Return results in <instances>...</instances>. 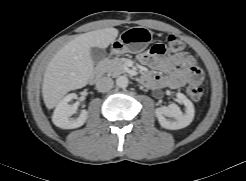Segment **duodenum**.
I'll return each mask as SVG.
<instances>
[{
	"instance_id": "duodenum-1",
	"label": "duodenum",
	"mask_w": 246,
	"mask_h": 181,
	"mask_svg": "<svg viewBox=\"0 0 246 181\" xmlns=\"http://www.w3.org/2000/svg\"><path fill=\"white\" fill-rule=\"evenodd\" d=\"M110 54H112V52ZM101 76H102V74H101L100 69L94 70L89 77L90 83H93V84L98 83L101 80ZM140 81L143 82V77L140 78Z\"/></svg>"
}]
</instances>
